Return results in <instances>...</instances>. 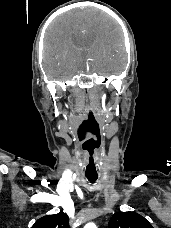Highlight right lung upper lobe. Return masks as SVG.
<instances>
[{
  "mask_svg": "<svg viewBox=\"0 0 171 228\" xmlns=\"http://www.w3.org/2000/svg\"><path fill=\"white\" fill-rule=\"evenodd\" d=\"M32 228H69L68 216L60 211L58 214L40 218Z\"/></svg>",
  "mask_w": 171,
  "mask_h": 228,
  "instance_id": "obj_1",
  "label": "right lung upper lobe"
}]
</instances>
